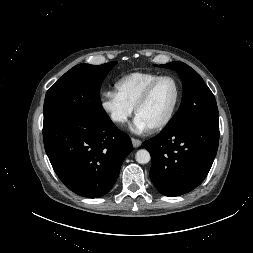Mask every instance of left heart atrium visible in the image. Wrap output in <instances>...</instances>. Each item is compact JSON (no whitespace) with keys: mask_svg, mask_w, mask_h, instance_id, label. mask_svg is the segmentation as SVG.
Wrapping results in <instances>:
<instances>
[{"mask_svg":"<svg viewBox=\"0 0 253 253\" xmlns=\"http://www.w3.org/2000/svg\"><path fill=\"white\" fill-rule=\"evenodd\" d=\"M131 129L136 133H144L150 130V128L139 117L134 119Z\"/></svg>","mask_w":253,"mask_h":253,"instance_id":"obj_1","label":"left heart atrium"}]
</instances>
